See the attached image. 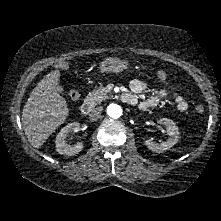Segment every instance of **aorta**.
<instances>
[{"label":"aorta","mask_w":221,"mask_h":221,"mask_svg":"<svg viewBox=\"0 0 221 221\" xmlns=\"http://www.w3.org/2000/svg\"><path fill=\"white\" fill-rule=\"evenodd\" d=\"M107 114L113 119H118L122 116V108L117 104H110L107 107Z\"/></svg>","instance_id":"1"}]
</instances>
